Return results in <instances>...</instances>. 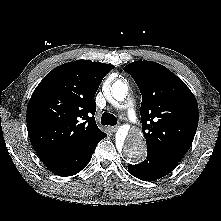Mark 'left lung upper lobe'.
Listing matches in <instances>:
<instances>
[{
  "instance_id": "obj_1",
  "label": "left lung upper lobe",
  "mask_w": 221,
  "mask_h": 221,
  "mask_svg": "<svg viewBox=\"0 0 221 221\" xmlns=\"http://www.w3.org/2000/svg\"><path fill=\"white\" fill-rule=\"evenodd\" d=\"M128 72L142 94V130L147 151L180 161L190 148L198 126L197 101L186 84L166 67L135 61Z\"/></svg>"
}]
</instances>
